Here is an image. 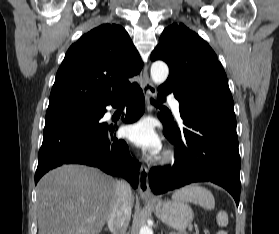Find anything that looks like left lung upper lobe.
Returning a JSON list of instances; mask_svg holds the SVG:
<instances>
[{
  "label": "left lung upper lobe",
  "instance_id": "5c2ea615",
  "mask_svg": "<svg viewBox=\"0 0 279 234\" xmlns=\"http://www.w3.org/2000/svg\"><path fill=\"white\" fill-rule=\"evenodd\" d=\"M151 60L168 64L169 77L164 84L173 85L185 99L234 108L227 76L215 52L184 24L164 29Z\"/></svg>",
  "mask_w": 279,
  "mask_h": 234
}]
</instances>
